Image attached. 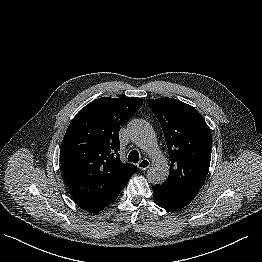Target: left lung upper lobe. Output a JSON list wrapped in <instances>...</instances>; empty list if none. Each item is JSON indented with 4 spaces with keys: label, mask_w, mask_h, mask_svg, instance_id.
<instances>
[{
    "label": "left lung upper lobe",
    "mask_w": 262,
    "mask_h": 262,
    "mask_svg": "<svg viewBox=\"0 0 262 262\" xmlns=\"http://www.w3.org/2000/svg\"><path fill=\"white\" fill-rule=\"evenodd\" d=\"M161 124L170 172L162 184L173 191L195 197L210 167L212 137L203 116L192 106L173 98L147 99Z\"/></svg>",
    "instance_id": "obj_1"
}]
</instances>
